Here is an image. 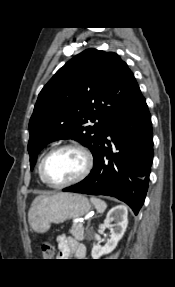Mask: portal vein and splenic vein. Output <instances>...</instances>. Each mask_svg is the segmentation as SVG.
Here are the masks:
<instances>
[{
    "label": "portal vein and splenic vein",
    "mask_w": 175,
    "mask_h": 287,
    "mask_svg": "<svg viewBox=\"0 0 175 287\" xmlns=\"http://www.w3.org/2000/svg\"><path fill=\"white\" fill-rule=\"evenodd\" d=\"M79 222V224H82L83 222H84V220H80V221H78Z\"/></svg>",
    "instance_id": "obj_1"
}]
</instances>
